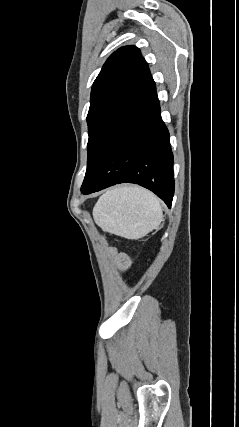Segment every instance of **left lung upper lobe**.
<instances>
[{
  "mask_svg": "<svg viewBox=\"0 0 239 427\" xmlns=\"http://www.w3.org/2000/svg\"><path fill=\"white\" fill-rule=\"evenodd\" d=\"M155 95V82L137 47L124 46L107 59L91 90L87 170L81 190L113 136Z\"/></svg>",
  "mask_w": 239,
  "mask_h": 427,
  "instance_id": "left-lung-upper-lobe-1",
  "label": "left lung upper lobe"
}]
</instances>
